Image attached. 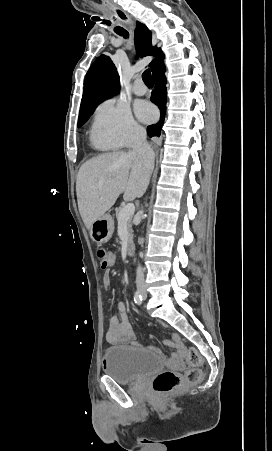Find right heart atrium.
Segmentation results:
<instances>
[{
  "label": "right heart atrium",
  "mask_w": 272,
  "mask_h": 451,
  "mask_svg": "<svg viewBox=\"0 0 272 451\" xmlns=\"http://www.w3.org/2000/svg\"><path fill=\"white\" fill-rule=\"evenodd\" d=\"M140 132L141 126L121 103L106 101L95 111L92 137L98 145L126 147Z\"/></svg>",
  "instance_id": "1"
}]
</instances>
